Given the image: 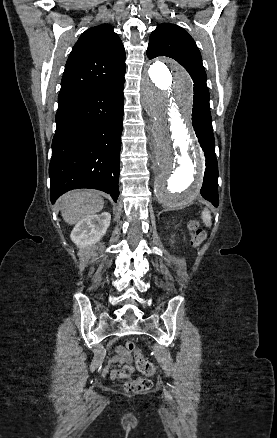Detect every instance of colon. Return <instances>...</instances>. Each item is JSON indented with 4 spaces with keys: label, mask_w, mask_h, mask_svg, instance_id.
I'll list each match as a JSON object with an SVG mask.
<instances>
[{
    "label": "colon",
    "mask_w": 277,
    "mask_h": 438,
    "mask_svg": "<svg viewBox=\"0 0 277 438\" xmlns=\"http://www.w3.org/2000/svg\"><path fill=\"white\" fill-rule=\"evenodd\" d=\"M191 241L194 245H199L204 240V231L196 222L190 223ZM126 347L133 355L139 371L146 375H153L155 373L154 364L144 357L142 351L134 347L133 342H126ZM123 387L126 392L138 393L146 389H156V380H146L145 378H130L123 382Z\"/></svg>",
    "instance_id": "obj_1"
}]
</instances>
